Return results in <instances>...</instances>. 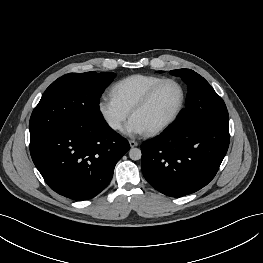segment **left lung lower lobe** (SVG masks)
I'll return each mask as SVG.
<instances>
[{"label": "left lung lower lobe", "mask_w": 263, "mask_h": 263, "mask_svg": "<svg viewBox=\"0 0 263 263\" xmlns=\"http://www.w3.org/2000/svg\"><path fill=\"white\" fill-rule=\"evenodd\" d=\"M229 140V120L210 122L193 131H179L171 125L142 144V173L167 196L194 193L216 175Z\"/></svg>", "instance_id": "0a47b994"}]
</instances>
